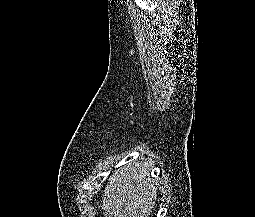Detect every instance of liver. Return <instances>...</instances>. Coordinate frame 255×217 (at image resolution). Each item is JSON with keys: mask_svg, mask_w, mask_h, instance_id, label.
Returning <instances> with one entry per match:
<instances>
[{"mask_svg": "<svg viewBox=\"0 0 255 217\" xmlns=\"http://www.w3.org/2000/svg\"><path fill=\"white\" fill-rule=\"evenodd\" d=\"M104 194L105 217H148L157 197L149 170L140 169L136 163L111 175Z\"/></svg>", "mask_w": 255, "mask_h": 217, "instance_id": "liver-1", "label": "liver"}]
</instances>
